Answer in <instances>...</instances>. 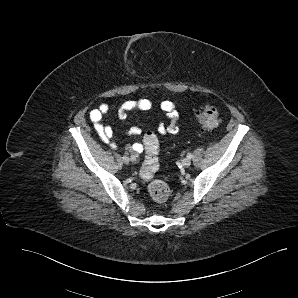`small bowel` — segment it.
<instances>
[{"mask_svg":"<svg viewBox=\"0 0 298 298\" xmlns=\"http://www.w3.org/2000/svg\"><path fill=\"white\" fill-rule=\"evenodd\" d=\"M153 107L151 100L141 98L138 100H128L122 103L118 109V116L121 119L128 118L129 114L134 110L148 111ZM161 110L166 114L170 123L166 124L161 122L158 125L157 131L160 135L177 134L180 131L179 119L180 115L174 103L170 100H164L160 103ZM109 112V105L106 103L100 104L98 107L90 111V120L92 125L100 137V139L108 144L112 149H116L118 144L113 140V129L103 123V117ZM142 132L138 126H132L128 129V134L135 136L140 135ZM131 153L139 154L143 151V145L140 142L133 143L128 146Z\"/></svg>","mask_w":298,"mask_h":298,"instance_id":"1","label":"small bowel"}]
</instances>
